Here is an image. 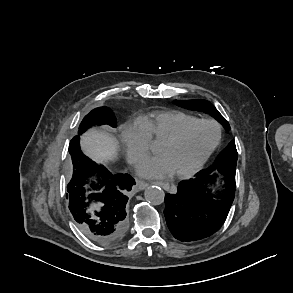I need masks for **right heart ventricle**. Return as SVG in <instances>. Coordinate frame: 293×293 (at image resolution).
Listing matches in <instances>:
<instances>
[{"instance_id": "e07e8e85", "label": "right heart ventricle", "mask_w": 293, "mask_h": 293, "mask_svg": "<svg viewBox=\"0 0 293 293\" xmlns=\"http://www.w3.org/2000/svg\"><path fill=\"white\" fill-rule=\"evenodd\" d=\"M196 119L195 116L182 111L165 110L142 117L139 124L148 132L151 139L162 141Z\"/></svg>"}]
</instances>
